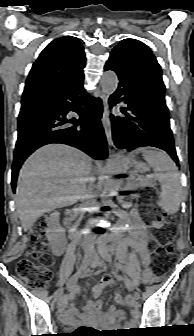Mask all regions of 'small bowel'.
<instances>
[{
	"mask_svg": "<svg viewBox=\"0 0 194 336\" xmlns=\"http://www.w3.org/2000/svg\"><path fill=\"white\" fill-rule=\"evenodd\" d=\"M129 238L119 242L116 254L120 262L128 263L129 270L135 279H138V264L133 258L128 259L126 250L131 248L139 257L143 265V278H149L151 276L150 262L151 256L148 250V233L147 227L144 222L139 218L136 213H131L129 217ZM119 277L117 272L114 271L111 275L104 276L100 282L93 287V295L96 298L95 301H88L84 307V321L88 324H105L113 325L118 320L122 319V314L115 309L114 306H110L107 313L102 318H97L96 313L102 309L103 303L99 298L103 289L113 284ZM114 298L117 302H122V296L120 293H115ZM61 321L65 325H73L77 323L76 310L72 306H68L66 300L61 304Z\"/></svg>",
	"mask_w": 194,
	"mask_h": 336,
	"instance_id": "c3829d8e",
	"label": "small bowel"
}]
</instances>
